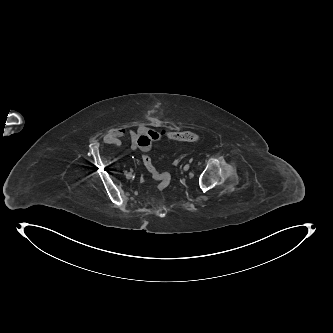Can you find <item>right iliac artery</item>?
Wrapping results in <instances>:
<instances>
[{
    "mask_svg": "<svg viewBox=\"0 0 333 333\" xmlns=\"http://www.w3.org/2000/svg\"><path fill=\"white\" fill-rule=\"evenodd\" d=\"M124 173L126 174V176L129 174V173L127 174V171H125Z\"/></svg>",
    "mask_w": 333,
    "mask_h": 333,
    "instance_id": "right-iliac-artery-1",
    "label": "right iliac artery"
}]
</instances>
